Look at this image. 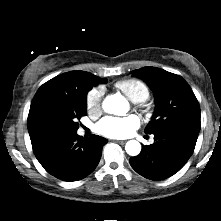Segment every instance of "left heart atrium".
I'll return each mask as SVG.
<instances>
[{"instance_id": "39dd6f15", "label": "left heart atrium", "mask_w": 221, "mask_h": 221, "mask_svg": "<svg viewBox=\"0 0 221 221\" xmlns=\"http://www.w3.org/2000/svg\"><path fill=\"white\" fill-rule=\"evenodd\" d=\"M139 118L135 115L125 117L109 116L103 118L96 126L97 131L110 138H126L139 127Z\"/></svg>"}]
</instances>
